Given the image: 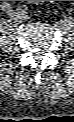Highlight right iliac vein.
Here are the masks:
<instances>
[{
  "label": "right iliac vein",
  "instance_id": "1",
  "mask_svg": "<svg viewBox=\"0 0 74 122\" xmlns=\"http://www.w3.org/2000/svg\"><path fill=\"white\" fill-rule=\"evenodd\" d=\"M10 18L14 21H19L20 20V15L18 13L15 12H10Z\"/></svg>",
  "mask_w": 74,
  "mask_h": 122
}]
</instances>
